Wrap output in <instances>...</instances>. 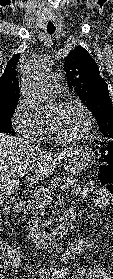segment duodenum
Listing matches in <instances>:
<instances>
[{
	"label": "duodenum",
	"instance_id": "410a0bca",
	"mask_svg": "<svg viewBox=\"0 0 113 279\" xmlns=\"http://www.w3.org/2000/svg\"><path fill=\"white\" fill-rule=\"evenodd\" d=\"M76 215L75 209H69L63 214L59 222L53 226L44 228L29 227L27 229V236L42 247L57 243L70 231L75 222ZM84 242L85 240H81V243Z\"/></svg>",
	"mask_w": 113,
	"mask_h": 279
}]
</instances>
